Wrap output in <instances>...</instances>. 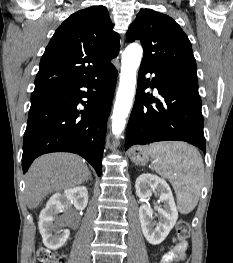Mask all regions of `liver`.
<instances>
[{
  "mask_svg": "<svg viewBox=\"0 0 233 263\" xmlns=\"http://www.w3.org/2000/svg\"><path fill=\"white\" fill-rule=\"evenodd\" d=\"M90 174L84 161L74 154L52 153L37 158L26 175L28 208H36L48 194L87 182Z\"/></svg>",
  "mask_w": 233,
  "mask_h": 263,
  "instance_id": "1",
  "label": "liver"
}]
</instances>
